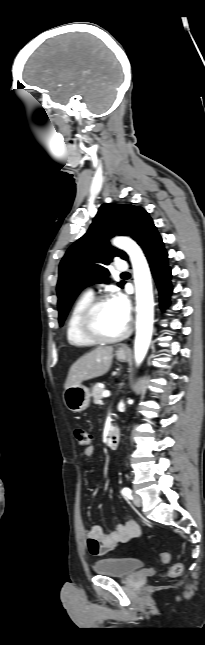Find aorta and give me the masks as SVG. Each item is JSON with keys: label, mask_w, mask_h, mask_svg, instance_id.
<instances>
[{"label": "aorta", "mask_w": 205, "mask_h": 645, "mask_svg": "<svg viewBox=\"0 0 205 645\" xmlns=\"http://www.w3.org/2000/svg\"><path fill=\"white\" fill-rule=\"evenodd\" d=\"M113 244L127 252L133 267L137 303L134 353L136 363L139 365L146 356L153 330L154 301L151 273L142 250L133 240L117 237L113 240Z\"/></svg>", "instance_id": "762f6f07"}]
</instances>
